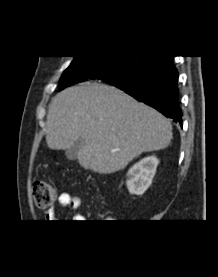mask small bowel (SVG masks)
<instances>
[{
	"label": "small bowel",
	"instance_id": "small-bowel-1",
	"mask_svg": "<svg viewBox=\"0 0 218 277\" xmlns=\"http://www.w3.org/2000/svg\"><path fill=\"white\" fill-rule=\"evenodd\" d=\"M81 204V198L77 195H72L69 192H62L58 196V206L51 207L45 212V219L47 222H55L58 219L60 211L62 208H69L71 210H76ZM76 220H81L83 217L81 215H75L73 217Z\"/></svg>",
	"mask_w": 218,
	"mask_h": 277
}]
</instances>
